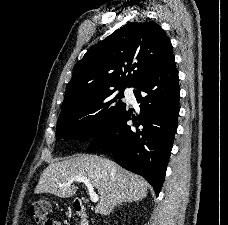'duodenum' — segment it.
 <instances>
[{
    "instance_id": "duodenum-1",
    "label": "duodenum",
    "mask_w": 228,
    "mask_h": 225,
    "mask_svg": "<svg viewBox=\"0 0 228 225\" xmlns=\"http://www.w3.org/2000/svg\"><path fill=\"white\" fill-rule=\"evenodd\" d=\"M72 208L79 218V225H89L87 208L81 199H74L72 202Z\"/></svg>"
}]
</instances>
